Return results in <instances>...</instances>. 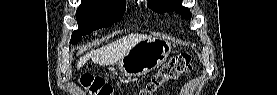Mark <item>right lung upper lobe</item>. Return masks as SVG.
I'll return each instance as SVG.
<instances>
[{
  "instance_id": "right-lung-upper-lobe-1",
  "label": "right lung upper lobe",
  "mask_w": 277,
  "mask_h": 95,
  "mask_svg": "<svg viewBox=\"0 0 277 95\" xmlns=\"http://www.w3.org/2000/svg\"><path fill=\"white\" fill-rule=\"evenodd\" d=\"M82 1H84V0H82ZM114 1L125 2V0H114Z\"/></svg>"
}]
</instances>
